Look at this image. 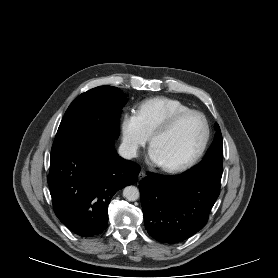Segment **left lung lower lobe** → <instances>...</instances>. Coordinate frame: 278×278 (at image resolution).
<instances>
[{"instance_id":"left-lung-lower-lobe-1","label":"left lung lower lobe","mask_w":278,"mask_h":278,"mask_svg":"<svg viewBox=\"0 0 278 278\" xmlns=\"http://www.w3.org/2000/svg\"><path fill=\"white\" fill-rule=\"evenodd\" d=\"M219 178L149 173L139 184L147 232L163 243L181 242L201 230L220 192Z\"/></svg>"}]
</instances>
